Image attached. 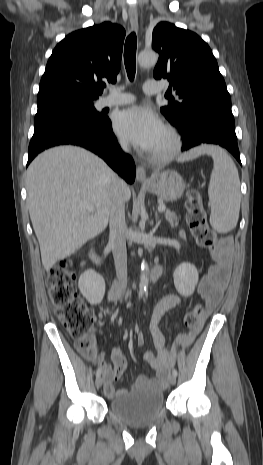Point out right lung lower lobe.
I'll use <instances>...</instances> for the list:
<instances>
[{
  "mask_svg": "<svg viewBox=\"0 0 263 465\" xmlns=\"http://www.w3.org/2000/svg\"><path fill=\"white\" fill-rule=\"evenodd\" d=\"M63 144L81 146L94 152L128 183L134 182L136 172L134 161L121 150L107 116L102 120L53 116L35 122L27 165L41 151Z\"/></svg>",
  "mask_w": 263,
  "mask_h": 465,
  "instance_id": "1",
  "label": "right lung lower lobe"
}]
</instances>
